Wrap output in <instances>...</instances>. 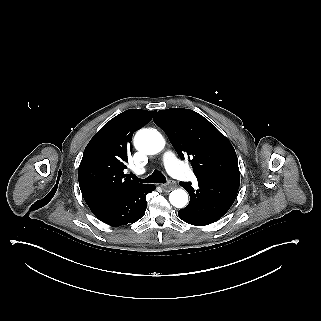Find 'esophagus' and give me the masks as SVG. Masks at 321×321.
Returning <instances> with one entry per match:
<instances>
[{"instance_id":"34e87169","label":"esophagus","mask_w":321,"mask_h":321,"mask_svg":"<svg viewBox=\"0 0 321 321\" xmlns=\"http://www.w3.org/2000/svg\"><path fill=\"white\" fill-rule=\"evenodd\" d=\"M175 185V183L163 184L161 185V188L164 192H170L175 187Z\"/></svg>"}]
</instances>
